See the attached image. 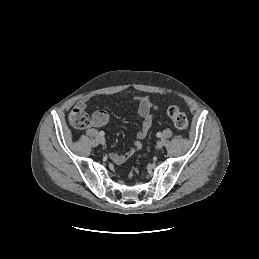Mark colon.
I'll list each match as a JSON object with an SVG mask.
<instances>
[{
  "instance_id": "1",
  "label": "colon",
  "mask_w": 259,
  "mask_h": 259,
  "mask_svg": "<svg viewBox=\"0 0 259 259\" xmlns=\"http://www.w3.org/2000/svg\"><path fill=\"white\" fill-rule=\"evenodd\" d=\"M168 116L172 120L174 126L181 131H184L188 127V120L183 111H181L176 106H171L168 108ZM69 121L73 127L76 129H84L89 126L91 120L89 115L80 108H74L70 115Z\"/></svg>"
}]
</instances>
